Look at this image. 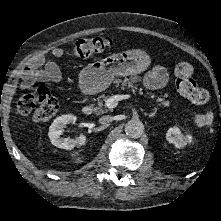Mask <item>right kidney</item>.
I'll use <instances>...</instances> for the list:
<instances>
[{"mask_svg":"<svg viewBox=\"0 0 221 221\" xmlns=\"http://www.w3.org/2000/svg\"><path fill=\"white\" fill-rule=\"evenodd\" d=\"M77 120L76 116L72 114L62 115L56 118L51 126L49 127V139L51 143L61 149L71 150L76 146H81L85 144L86 137L80 135L74 139L62 138L63 128L70 123H75Z\"/></svg>","mask_w":221,"mask_h":221,"instance_id":"right-kidney-1","label":"right kidney"}]
</instances>
